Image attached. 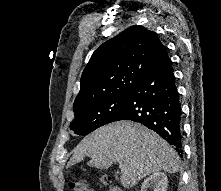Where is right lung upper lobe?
Returning a JSON list of instances; mask_svg holds the SVG:
<instances>
[{
    "label": "right lung upper lobe",
    "instance_id": "1",
    "mask_svg": "<svg viewBox=\"0 0 221 191\" xmlns=\"http://www.w3.org/2000/svg\"><path fill=\"white\" fill-rule=\"evenodd\" d=\"M167 58V50L154 32L142 26L129 27L93 53L81 76L74 112L132 91Z\"/></svg>",
    "mask_w": 221,
    "mask_h": 191
}]
</instances>
